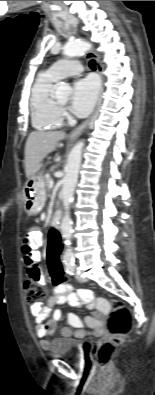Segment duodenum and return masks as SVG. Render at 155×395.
I'll use <instances>...</instances> for the list:
<instances>
[{"label": "duodenum", "instance_id": "duodenum-1", "mask_svg": "<svg viewBox=\"0 0 155 395\" xmlns=\"http://www.w3.org/2000/svg\"><path fill=\"white\" fill-rule=\"evenodd\" d=\"M62 214L60 211L54 213L52 217V225L54 228H59L61 225Z\"/></svg>", "mask_w": 155, "mask_h": 395}]
</instances>
